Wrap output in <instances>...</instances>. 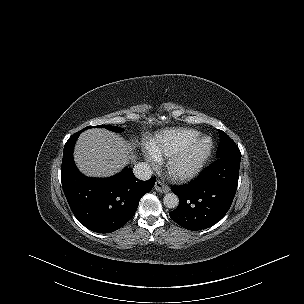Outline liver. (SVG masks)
<instances>
[{
	"label": "liver",
	"mask_w": 304,
	"mask_h": 304,
	"mask_svg": "<svg viewBox=\"0 0 304 304\" xmlns=\"http://www.w3.org/2000/svg\"><path fill=\"white\" fill-rule=\"evenodd\" d=\"M132 145L105 129L83 132L75 146L74 158L79 170L87 176L109 177L129 163Z\"/></svg>",
	"instance_id": "obj_1"
}]
</instances>
